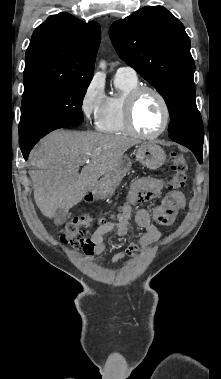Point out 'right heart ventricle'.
I'll return each instance as SVG.
<instances>
[{"label": "right heart ventricle", "instance_id": "right-heart-ventricle-1", "mask_svg": "<svg viewBox=\"0 0 221 379\" xmlns=\"http://www.w3.org/2000/svg\"><path fill=\"white\" fill-rule=\"evenodd\" d=\"M118 94L107 97L105 108L96 122L99 131L110 134H126L129 131L124 121V102L127 94L138 86L137 79L115 77Z\"/></svg>", "mask_w": 221, "mask_h": 379}]
</instances>
